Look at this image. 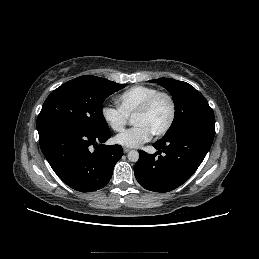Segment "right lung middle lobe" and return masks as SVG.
<instances>
[{
  "instance_id": "obj_1",
  "label": "right lung middle lobe",
  "mask_w": 259,
  "mask_h": 259,
  "mask_svg": "<svg viewBox=\"0 0 259 259\" xmlns=\"http://www.w3.org/2000/svg\"><path fill=\"white\" fill-rule=\"evenodd\" d=\"M125 86L92 75L62 84L50 93L42 106L37 118L38 133L58 125L95 132L109 130L102 113L103 102Z\"/></svg>"
}]
</instances>
